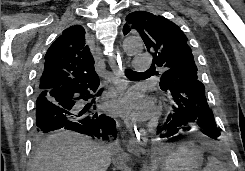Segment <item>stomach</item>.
Listing matches in <instances>:
<instances>
[{
	"instance_id": "stomach-1",
	"label": "stomach",
	"mask_w": 245,
	"mask_h": 171,
	"mask_svg": "<svg viewBox=\"0 0 245 171\" xmlns=\"http://www.w3.org/2000/svg\"><path fill=\"white\" fill-rule=\"evenodd\" d=\"M202 151L194 145L181 146L161 162L162 171H197L202 164Z\"/></svg>"
}]
</instances>
